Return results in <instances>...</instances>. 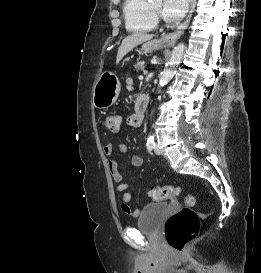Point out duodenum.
Returning <instances> with one entry per match:
<instances>
[{
	"label": "duodenum",
	"mask_w": 261,
	"mask_h": 273,
	"mask_svg": "<svg viewBox=\"0 0 261 273\" xmlns=\"http://www.w3.org/2000/svg\"><path fill=\"white\" fill-rule=\"evenodd\" d=\"M148 105V97L141 95L135 103V113L133 114V126L138 127L142 124L144 118V111Z\"/></svg>",
	"instance_id": "duodenum-1"
}]
</instances>
